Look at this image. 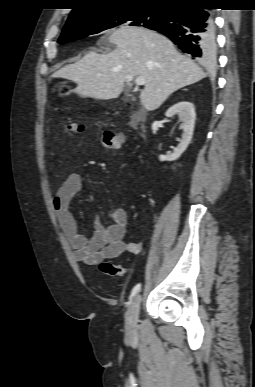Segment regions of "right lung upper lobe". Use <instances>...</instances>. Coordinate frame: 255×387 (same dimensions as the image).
Instances as JSON below:
<instances>
[{
  "mask_svg": "<svg viewBox=\"0 0 255 387\" xmlns=\"http://www.w3.org/2000/svg\"><path fill=\"white\" fill-rule=\"evenodd\" d=\"M199 0H76L77 7L72 10L67 23L77 21L87 15L121 6H151L172 8L191 4Z\"/></svg>",
  "mask_w": 255,
  "mask_h": 387,
  "instance_id": "1",
  "label": "right lung upper lobe"
}]
</instances>
